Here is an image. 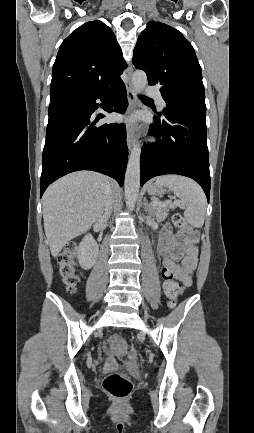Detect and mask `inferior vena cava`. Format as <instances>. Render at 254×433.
Masks as SVG:
<instances>
[{"instance_id": "1", "label": "inferior vena cava", "mask_w": 254, "mask_h": 433, "mask_svg": "<svg viewBox=\"0 0 254 433\" xmlns=\"http://www.w3.org/2000/svg\"><path fill=\"white\" fill-rule=\"evenodd\" d=\"M112 203H113V199H112V190L111 187L109 188V193L107 196V200H106V204H105V212L104 215L102 216L103 220H107L109 218V216L111 215L112 212Z\"/></svg>"}]
</instances>
